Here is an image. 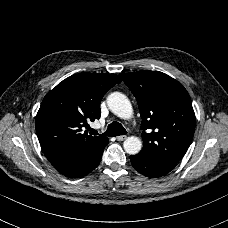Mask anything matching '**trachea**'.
I'll return each mask as SVG.
<instances>
[{
	"mask_svg": "<svg viewBox=\"0 0 228 228\" xmlns=\"http://www.w3.org/2000/svg\"><path fill=\"white\" fill-rule=\"evenodd\" d=\"M91 134L96 135L97 131L90 129ZM127 131L125 128L122 126L117 121L112 122L111 124L108 125L107 131L103 134L104 136H120L126 134Z\"/></svg>",
	"mask_w": 228,
	"mask_h": 228,
	"instance_id": "3493384b",
	"label": "trachea"
}]
</instances>
